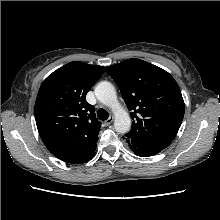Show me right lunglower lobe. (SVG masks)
<instances>
[{"mask_svg": "<svg viewBox=\"0 0 220 220\" xmlns=\"http://www.w3.org/2000/svg\"><path fill=\"white\" fill-rule=\"evenodd\" d=\"M95 149H96V148H95ZM94 155H95V150H94L89 156H87L83 161H81V162L78 163V164H82V163L87 162V161L90 160Z\"/></svg>", "mask_w": 220, "mask_h": 220, "instance_id": "1", "label": "right lung lower lobe"}]
</instances>
